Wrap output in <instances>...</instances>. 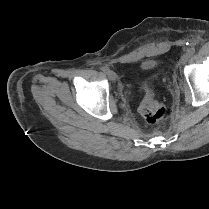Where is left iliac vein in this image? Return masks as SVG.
Returning <instances> with one entry per match:
<instances>
[{"label": "left iliac vein", "instance_id": "left-iliac-vein-1", "mask_svg": "<svg viewBox=\"0 0 209 209\" xmlns=\"http://www.w3.org/2000/svg\"><path fill=\"white\" fill-rule=\"evenodd\" d=\"M189 57H190V55L188 53L183 54L180 59V64L185 65L187 63Z\"/></svg>", "mask_w": 209, "mask_h": 209}]
</instances>
